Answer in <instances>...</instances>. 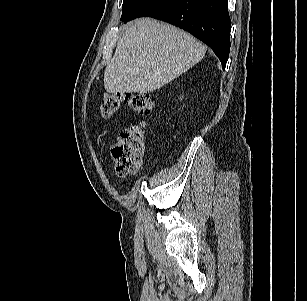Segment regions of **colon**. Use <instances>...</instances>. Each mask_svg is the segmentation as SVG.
Returning a JSON list of instances; mask_svg holds the SVG:
<instances>
[{
    "instance_id": "5ec220e1",
    "label": "colon",
    "mask_w": 307,
    "mask_h": 301,
    "mask_svg": "<svg viewBox=\"0 0 307 301\" xmlns=\"http://www.w3.org/2000/svg\"><path fill=\"white\" fill-rule=\"evenodd\" d=\"M126 104L134 112L147 115L155 104L148 92L135 93H106L100 106V116L108 120ZM145 152L144 127L141 124L124 129L116 138L112 147V156L116 173L119 176H133L140 173Z\"/></svg>"
}]
</instances>
